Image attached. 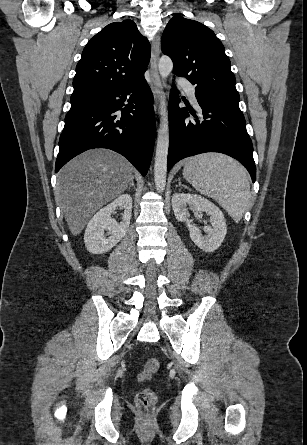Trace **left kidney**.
I'll return each instance as SVG.
<instances>
[{"label":"left kidney","mask_w":307,"mask_h":445,"mask_svg":"<svg viewBox=\"0 0 307 445\" xmlns=\"http://www.w3.org/2000/svg\"><path fill=\"white\" fill-rule=\"evenodd\" d=\"M195 212H207L210 214L211 227H206V237H203L198 227H194L186 220L189 216L188 206ZM172 206L174 214L177 220H182V223H186L189 231V235L194 241L195 245L205 251V253H213L216 249H219L225 235L227 233V227L223 212L220 208L213 204L211 200L203 198L200 194H183V192H175L172 196Z\"/></svg>","instance_id":"5707ae66"}]
</instances>
